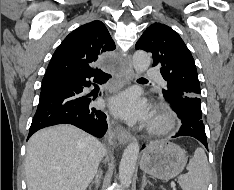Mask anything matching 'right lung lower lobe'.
Wrapping results in <instances>:
<instances>
[{
    "label": "right lung lower lobe",
    "instance_id": "right-lung-lower-lobe-1",
    "mask_svg": "<svg viewBox=\"0 0 234 190\" xmlns=\"http://www.w3.org/2000/svg\"><path fill=\"white\" fill-rule=\"evenodd\" d=\"M111 76L100 69L83 68L48 78L41 86L40 100L28 138L44 127L72 124L102 137L107 131L106 114L90 105L92 99L82 94L91 81L102 84Z\"/></svg>",
    "mask_w": 234,
    "mask_h": 190
}]
</instances>
